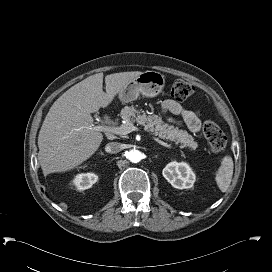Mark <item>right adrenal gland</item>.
Masks as SVG:
<instances>
[{
    "label": "right adrenal gland",
    "mask_w": 272,
    "mask_h": 272,
    "mask_svg": "<svg viewBox=\"0 0 272 272\" xmlns=\"http://www.w3.org/2000/svg\"><path fill=\"white\" fill-rule=\"evenodd\" d=\"M101 155H104V153H103V152H101Z\"/></svg>",
    "instance_id": "right-adrenal-gland-1"
}]
</instances>
